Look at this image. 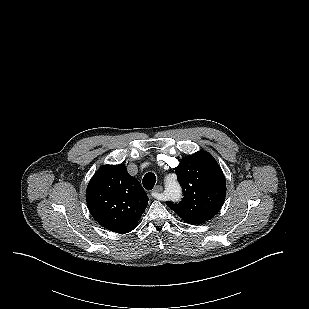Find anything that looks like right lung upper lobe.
Here are the masks:
<instances>
[{"mask_svg": "<svg viewBox=\"0 0 309 309\" xmlns=\"http://www.w3.org/2000/svg\"><path fill=\"white\" fill-rule=\"evenodd\" d=\"M87 205L93 218L117 233L132 231L147 207L149 198L125 165H104L90 180Z\"/></svg>", "mask_w": 309, "mask_h": 309, "instance_id": "1", "label": "right lung upper lobe"}]
</instances>
